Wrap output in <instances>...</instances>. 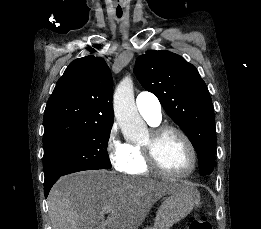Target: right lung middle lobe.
<instances>
[{
  "instance_id": "1",
  "label": "right lung middle lobe",
  "mask_w": 261,
  "mask_h": 229,
  "mask_svg": "<svg viewBox=\"0 0 261 229\" xmlns=\"http://www.w3.org/2000/svg\"><path fill=\"white\" fill-rule=\"evenodd\" d=\"M112 124L94 125L82 133L44 148L45 183L83 170L109 169L107 144Z\"/></svg>"
}]
</instances>
